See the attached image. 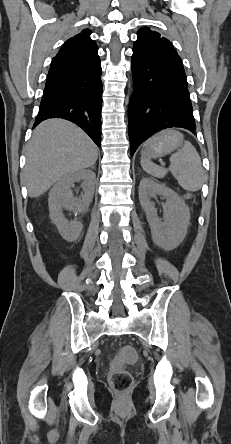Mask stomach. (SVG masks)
<instances>
[{
    "instance_id": "1",
    "label": "stomach",
    "mask_w": 231,
    "mask_h": 444,
    "mask_svg": "<svg viewBox=\"0 0 231 444\" xmlns=\"http://www.w3.org/2000/svg\"><path fill=\"white\" fill-rule=\"evenodd\" d=\"M182 142L183 136L179 132L166 131L149 140L142 150V155L152 158L160 157L176 150Z\"/></svg>"
}]
</instances>
